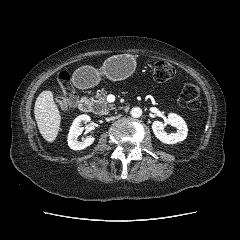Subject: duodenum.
<instances>
[{
	"mask_svg": "<svg viewBox=\"0 0 240 240\" xmlns=\"http://www.w3.org/2000/svg\"><path fill=\"white\" fill-rule=\"evenodd\" d=\"M81 86L85 85V80L80 83ZM92 108L91 100L88 96H83L79 101V109L82 112H90Z\"/></svg>",
	"mask_w": 240,
	"mask_h": 240,
	"instance_id": "obj_1",
	"label": "duodenum"
}]
</instances>
